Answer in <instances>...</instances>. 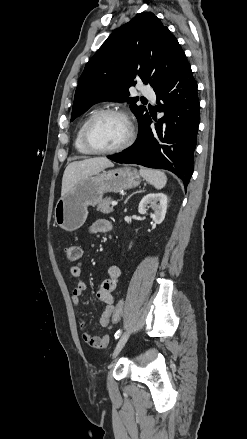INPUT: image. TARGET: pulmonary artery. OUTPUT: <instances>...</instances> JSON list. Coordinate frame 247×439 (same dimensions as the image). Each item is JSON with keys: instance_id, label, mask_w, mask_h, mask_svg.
<instances>
[{"instance_id": "e3ab8cb5", "label": "pulmonary artery", "mask_w": 247, "mask_h": 439, "mask_svg": "<svg viewBox=\"0 0 247 439\" xmlns=\"http://www.w3.org/2000/svg\"><path fill=\"white\" fill-rule=\"evenodd\" d=\"M140 91L143 95L148 96L150 98H154V92L149 86L141 85Z\"/></svg>"}]
</instances>
